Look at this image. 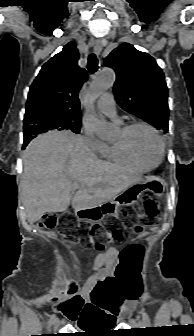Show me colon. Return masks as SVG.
Segmentation results:
<instances>
[{
	"mask_svg": "<svg viewBox=\"0 0 194 336\" xmlns=\"http://www.w3.org/2000/svg\"><path fill=\"white\" fill-rule=\"evenodd\" d=\"M142 212L138 215L134 211L123 210L120 217L124 225L111 221L110 226L105 229L100 224L90 226L87 233L78 237L75 232V221L69 213L60 215H47L41 222V226L51 232L56 229L62 231L71 242L80 241L86 245H93L98 251L102 250L107 243L119 244L126 238V226L134 232L139 233L146 225H153L159 216V208L156 201L148 194L141 198ZM141 249L132 245L123 250L116 269V278L123 290L119 303L127 299H133L136 295V286L131 279L132 272L139 266ZM63 298L57 305L58 310L70 321H77L85 308L84 299L77 293L74 284H70L64 292Z\"/></svg>",
	"mask_w": 194,
	"mask_h": 336,
	"instance_id": "1",
	"label": "colon"
}]
</instances>
